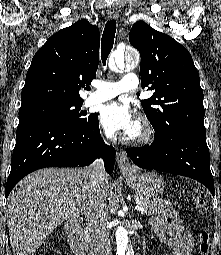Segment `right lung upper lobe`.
Wrapping results in <instances>:
<instances>
[{
	"label": "right lung upper lobe",
	"instance_id": "obj_1",
	"mask_svg": "<svg viewBox=\"0 0 221 255\" xmlns=\"http://www.w3.org/2000/svg\"><path fill=\"white\" fill-rule=\"evenodd\" d=\"M99 46V29L86 19L52 35L32 59L20 109L83 101L79 89L96 77Z\"/></svg>",
	"mask_w": 221,
	"mask_h": 255
}]
</instances>
